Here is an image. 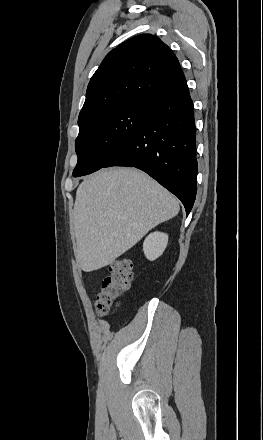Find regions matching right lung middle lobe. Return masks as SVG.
Here are the masks:
<instances>
[{"label":"right lung middle lobe","mask_w":263,"mask_h":440,"mask_svg":"<svg viewBox=\"0 0 263 440\" xmlns=\"http://www.w3.org/2000/svg\"><path fill=\"white\" fill-rule=\"evenodd\" d=\"M149 109V103L132 102L104 110L79 123L75 142L78 162L73 176L101 169L110 154L139 128Z\"/></svg>","instance_id":"right-lung-middle-lobe-1"}]
</instances>
